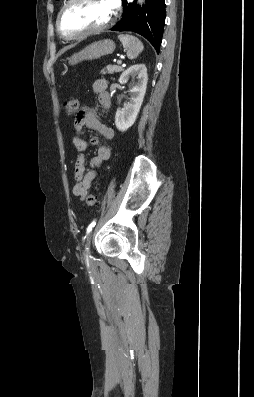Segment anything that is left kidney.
<instances>
[{
	"label": "left kidney",
	"instance_id": "1",
	"mask_svg": "<svg viewBox=\"0 0 254 397\" xmlns=\"http://www.w3.org/2000/svg\"><path fill=\"white\" fill-rule=\"evenodd\" d=\"M129 76L136 78L130 89L129 101L122 109H117L115 124L119 131L128 130L136 121L147 87L148 75L144 64H136L125 70L119 78L120 84H126Z\"/></svg>",
	"mask_w": 254,
	"mask_h": 397
}]
</instances>
